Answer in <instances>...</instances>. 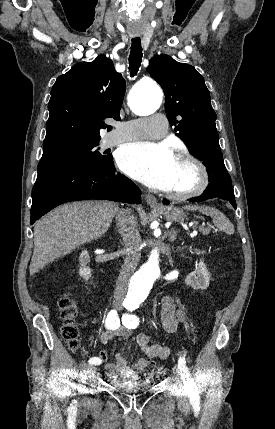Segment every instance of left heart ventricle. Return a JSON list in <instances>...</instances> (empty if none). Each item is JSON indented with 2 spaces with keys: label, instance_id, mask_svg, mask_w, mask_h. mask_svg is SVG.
Returning <instances> with one entry per match:
<instances>
[{
  "label": "left heart ventricle",
  "instance_id": "b2bd125f",
  "mask_svg": "<svg viewBox=\"0 0 275 429\" xmlns=\"http://www.w3.org/2000/svg\"><path fill=\"white\" fill-rule=\"evenodd\" d=\"M198 181L195 167L185 161L176 159L172 181L167 191L184 192L192 189Z\"/></svg>",
  "mask_w": 275,
  "mask_h": 429
}]
</instances>
